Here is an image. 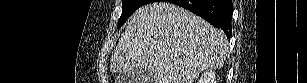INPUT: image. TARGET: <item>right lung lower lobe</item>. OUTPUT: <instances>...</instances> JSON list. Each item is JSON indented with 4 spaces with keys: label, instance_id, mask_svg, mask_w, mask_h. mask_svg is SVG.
<instances>
[{
    "label": "right lung lower lobe",
    "instance_id": "obj_1",
    "mask_svg": "<svg viewBox=\"0 0 307 83\" xmlns=\"http://www.w3.org/2000/svg\"><path fill=\"white\" fill-rule=\"evenodd\" d=\"M198 16L214 27L221 28L228 38L231 37L232 0H169Z\"/></svg>",
    "mask_w": 307,
    "mask_h": 83
}]
</instances>
